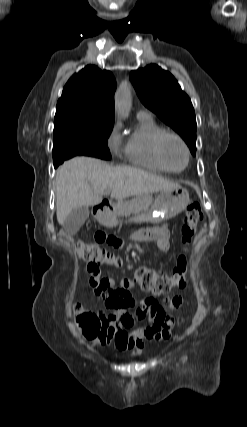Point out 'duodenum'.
Returning a JSON list of instances; mask_svg holds the SVG:
<instances>
[{
	"label": "duodenum",
	"instance_id": "duodenum-1",
	"mask_svg": "<svg viewBox=\"0 0 247 427\" xmlns=\"http://www.w3.org/2000/svg\"><path fill=\"white\" fill-rule=\"evenodd\" d=\"M111 209V205L107 201H101L95 205L94 211L97 217L104 216Z\"/></svg>",
	"mask_w": 247,
	"mask_h": 427
}]
</instances>
